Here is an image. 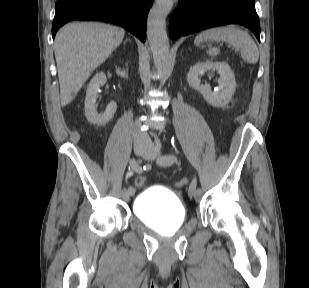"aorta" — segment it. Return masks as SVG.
<instances>
[{
  "instance_id": "obj_1",
  "label": "aorta",
  "mask_w": 309,
  "mask_h": 288,
  "mask_svg": "<svg viewBox=\"0 0 309 288\" xmlns=\"http://www.w3.org/2000/svg\"><path fill=\"white\" fill-rule=\"evenodd\" d=\"M173 7V0H157L147 18V38L153 54L154 65L162 71L169 58V41L166 18Z\"/></svg>"
}]
</instances>
